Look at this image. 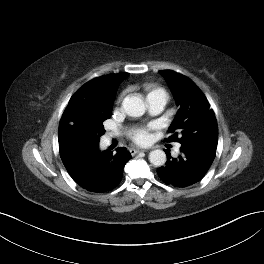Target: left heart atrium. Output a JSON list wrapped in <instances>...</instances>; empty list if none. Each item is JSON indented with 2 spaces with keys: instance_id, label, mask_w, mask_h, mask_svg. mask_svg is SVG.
Instances as JSON below:
<instances>
[{
  "instance_id": "obj_1",
  "label": "left heart atrium",
  "mask_w": 264,
  "mask_h": 264,
  "mask_svg": "<svg viewBox=\"0 0 264 264\" xmlns=\"http://www.w3.org/2000/svg\"><path fill=\"white\" fill-rule=\"evenodd\" d=\"M151 129L152 126L136 127L129 132V136L135 143L147 145L151 141Z\"/></svg>"
}]
</instances>
